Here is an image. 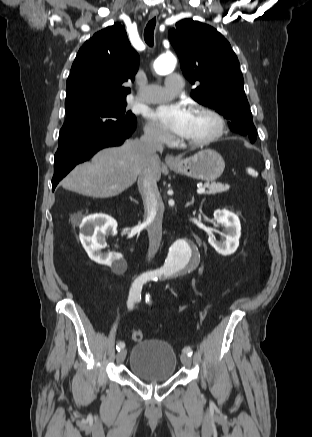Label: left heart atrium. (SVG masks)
Returning a JSON list of instances; mask_svg holds the SVG:
<instances>
[{
    "instance_id": "left-heart-atrium-1",
    "label": "left heart atrium",
    "mask_w": 312,
    "mask_h": 437,
    "mask_svg": "<svg viewBox=\"0 0 312 437\" xmlns=\"http://www.w3.org/2000/svg\"><path fill=\"white\" fill-rule=\"evenodd\" d=\"M192 111L181 104H165L159 106L152 118L164 129L183 137L188 129Z\"/></svg>"
}]
</instances>
